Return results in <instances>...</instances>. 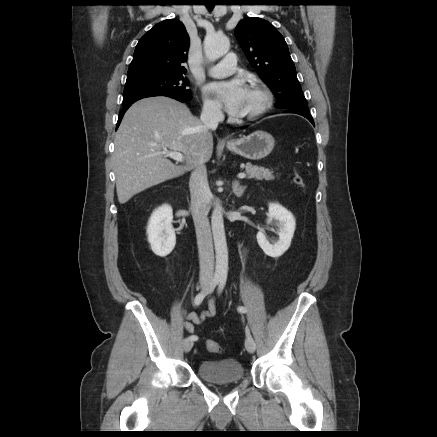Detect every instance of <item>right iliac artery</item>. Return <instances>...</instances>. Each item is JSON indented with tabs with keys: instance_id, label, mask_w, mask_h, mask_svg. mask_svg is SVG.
I'll return each mask as SVG.
<instances>
[{
	"instance_id": "right-iliac-artery-1",
	"label": "right iliac artery",
	"mask_w": 437,
	"mask_h": 437,
	"mask_svg": "<svg viewBox=\"0 0 437 437\" xmlns=\"http://www.w3.org/2000/svg\"><path fill=\"white\" fill-rule=\"evenodd\" d=\"M219 282H220V278L214 277L212 279L209 287L196 295V297L194 299V304L197 306L200 305L202 303V301L204 300V298L206 297V295L209 292H211L212 290H214V288L218 285ZM190 339H192L193 341H196L198 339V337L195 335H192V336H190Z\"/></svg>"
}]
</instances>
